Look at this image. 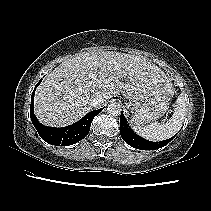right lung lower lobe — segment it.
Masks as SVG:
<instances>
[{
    "mask_svg": "<svg viewBox=\"0 0 211 211\" xmlns=\"http://www.w3.org/2000/svg\"><path fill=\"white\" fill-rule=\"evenodd\" d=\"M42 79L38 82L36 87L40 84ZM35 87V89H36ZM35 89L33 90L31 96V105H30V117L32 123L36 130L38 131L40 137L47 143L52 145H62L68 146L75 144L76 142L82 140L90 131L91 122L96 115H98L103 108L89 112L78 122L61 128L46 127L39 123L36 116L34 115V94Z\"/></svg>",
    "mask_w": 211,
    "mask_h": 211,
    "instance_id": "right-lung-lower-lobe-1",
    "label": "right lung lower lobe"
}]
</instances>
